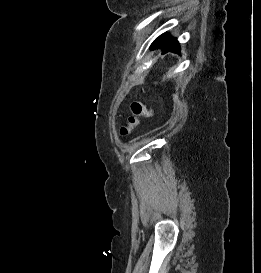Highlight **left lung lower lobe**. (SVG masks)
<instances>
[{
	"label": "left lung lower lobe",
	"mask_w": 261,
	"mask_h": 273,
	"mask_svg": "<svg viewBox=\"0 0 261 273\" xmlns=\"http://www.w3.org/2000/svg\"><path fill=\"white\" fill-rule=\"evenodd\" d=\"M158 47L163 49V54L167 52L178 53L180 50L179 43L176 38H171L166 33L159 36L151 45V49Z\"/></svg>",
	"instance_id": "obj_1"
}]
</instances>
